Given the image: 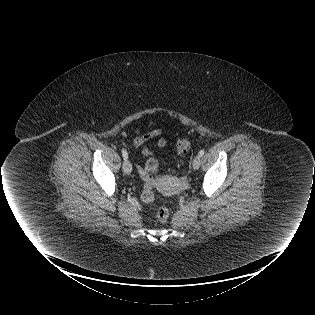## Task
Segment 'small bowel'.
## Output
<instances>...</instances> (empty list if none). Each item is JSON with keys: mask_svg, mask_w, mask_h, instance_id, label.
Instances as JSON below:
<instances>
[{"mask_svg": "<svg viewBox=\"0 0 315 315\" xmlns=\"http://www.w3.org/2000/svg\"><path fill=\"white\" fill-rule=\"evenodd\" d=\"M147 126L152 127V129L144 134L141 133L140 129H137L134 132L132 141L134 146L142 147L143 155L151 156L153 154V151L151 149L152 145L157 148H164L167 146L168 142L165 139H159L153 144H150L155 138L162 135L163 130L157 127L156 122H149L147 123Z\"/></svg>", "mask_w": 315, "mask_h": 315, "instance_id": "small-bowel-1", "label": "small bowel"}]
</instances>
